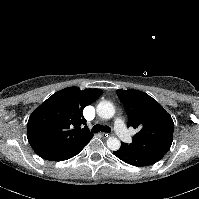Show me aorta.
<instances>
[{
    "label": "aorta",
    "instance_id": "762f6f07",
    "mask_svg": "<svg viewBox=\"0 0 199 199\" xmlns=\"http://www.w3.org/2000/svg\"><path fill=\"white\" fill-rule=\"evenodd\" d=\"M96 111L99 117L103 119H110L115 114V107L109 101H101L97 107ZM120 140L116 137H109L107 139V147L112 151H117L120 148Z\"/></svg>",
    "mask_w": 199,
    "mask_h": 199
}]
</instances>
